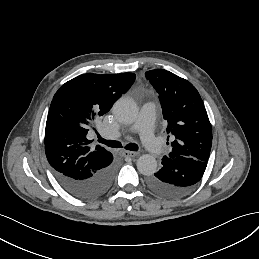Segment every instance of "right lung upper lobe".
<instances>
[{"label": "right lung upper lobe", "instance_id": "1", "mask_svg": "<svg viewBox=\"0 0 259 259\" xmlns=\"http://www.w3.org/2000/svg\"><path fill=\"white\" fill-rule=\"evenodd\" d=\"M135 78L133 73L84 74L58 89L50 105L44 140L53 171L84 179L112 163L113 155L100 145L91 146L93 140L87 134Z\"/></svg>", "mask_w": 259, "mask_h": 259}]
</instances>
